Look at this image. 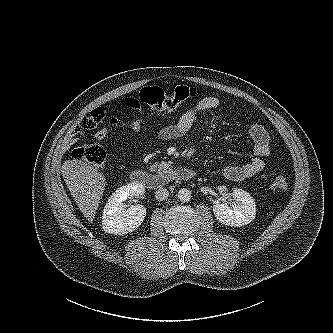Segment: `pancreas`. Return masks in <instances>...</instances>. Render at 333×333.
I'll return each mask as SVG.
<instances>
[{
  "label": "pancreas",
  "instance_id": "cf45deb5",
  "mask_svg": "<svg viewBox=\"0 0 333 333\" xmlns=\"http://www.w3.org/2000/svg\"><path fill=\"white\" fill-rule=\"evenodd\" d=\"M151 169L153 171H158V172H167L172 170V166L171 163H166L164 161H162L161 163H155L154 165L151 166Z\"/></svg>",
  "mask_w": 333,
  "mask_h": 333
}]
</instances>
